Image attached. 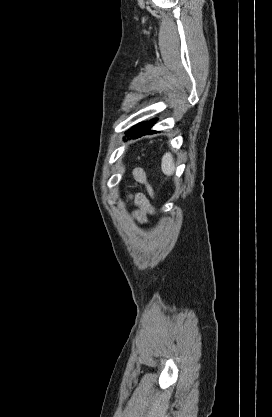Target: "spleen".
Wrapping results in <instances>:
<instances>
[{"label":"spleen","mask_w":272,"mask_h":417,"mask_svg":"<svg viewBox=\"0 0 272 417\" xmlns=\"http://www.w3.org/2000/svg\"><path fill=\"white\" fill-rule=\"evenodd\" d=\"M161 170L167 176H171L174 173L175 165L171 153H165L163 155L161 161Z\"/></svg>","instance_id":"3e777b00"}]
</instances>
